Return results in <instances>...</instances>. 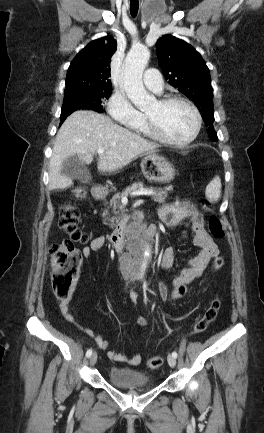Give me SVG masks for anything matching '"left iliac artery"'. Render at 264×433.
<instances>
[{"mask_svg": "<svg viewBox=\"0 0 264 433\" xmlns=\"http://www.w3.org/2000/svg\"><path fill=\"white\" fill-rule=\"evenodd\" d=\"M172 356H173L174 358H177V356H178V355H177V352H175V351L172 352Z\"/></svg>", "mask_w": 264, "mask_h": 433, "instance_id": "1", "label": "left iliac artery"}]
</instances>
